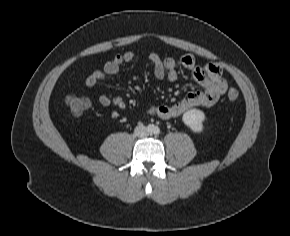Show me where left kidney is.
Listing matches in <instances>:
<instances>
[{"label":"left kidney","mask_w":290,"mask_h":236,"mask_svg":"<svg viewBox=\"0 0 290 236\" xmlns=\"http://www.w3.org/2000/svg\"><path fill=\"white\" fill-rule=\"evenodd\" d=\"M182 120L193 132L198 133L203 130L205 114L199 109H191L183 114Z\"/></svg>","instance_id":"5707ae66"}]
</instances>
